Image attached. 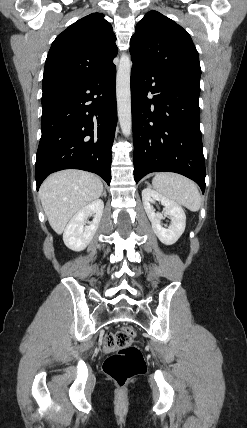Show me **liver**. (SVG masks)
Listing matches in <instances>:
<instances>
[{"mask_svg":"<svg viewBox=\"0 0 247 428\" xmlns=\"http://www.w3.org/2000/svg\"><path fill=\"white\" fill-rule=\"evenodd\" d=\"M101 180L82 170H64L50 175L41 185L39 196L49 224L61 234L78 211L98 199Z\"/></svg>","mask_w":247,"mask_h":428,"instance_id":"6515ba94","label":"liver"}]
</instances>
